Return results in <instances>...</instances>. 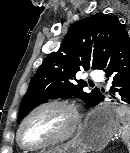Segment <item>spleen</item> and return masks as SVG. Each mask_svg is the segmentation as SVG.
I'll return each mask as SVG.
<instances>
[{
    "label": "spleen",
    "instance_id": "1",
    "mask_svg": "<svg viewBox=\"0 0 130 153\" xmlns=\"http://www.w3.org/2000/svg\"><path fill=\"white\" fill-rule=\"evenodd\" d=\"M116 111L122 124L120 128L121 138L130 152V109L122 106L117 107Z\"/></svg>",
    "mask_w": 130,
    "mask_h": 153
}]
</instances>
